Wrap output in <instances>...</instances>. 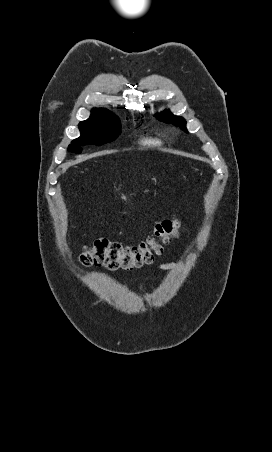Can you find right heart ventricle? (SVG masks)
I'll return each instance as SVG.
<instances>
[{"instance_id": "1", "label": "right heart ventricle", "mask_w": 272, "mask_h": 452, "mask_svg": "<svg viewBox=\"0 0 272 452\" xmlns=\"http://www.w3.org/2000/svg\"><path fill=\"white\" fill-rule=\"evenodd\" d=\"M142 143L147 146H160L162 141L158 138L147 137L142 141Z\"/></svg>"}]
</instances>
